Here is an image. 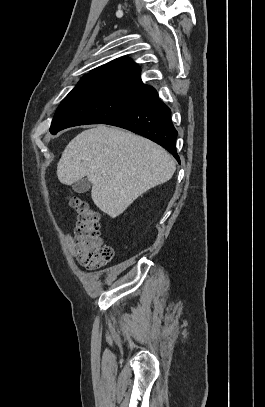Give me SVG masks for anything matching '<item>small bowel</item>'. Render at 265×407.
Returning <instances> with one entry per match:
<instances>
[{
    "mask_svg": "<svg viewBox=\"0 0 265 407\" xmlns=\"http://www.w3.org/2000/svg\"><path fill=\"white\" fill-rule=\"evenodd\" d=\"M66 244H67V246H68V250H69V252L71 253V255H72L73 257H75V256H76V253H75L74 240H73V237H72L71 234H68V235L66 236Z\"/></svg>",
    "mask_w": 265,
    "mask_h": 407,
    "instance_id": "1",
    "label": "small bowel"
}]
</instances>
